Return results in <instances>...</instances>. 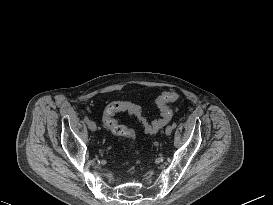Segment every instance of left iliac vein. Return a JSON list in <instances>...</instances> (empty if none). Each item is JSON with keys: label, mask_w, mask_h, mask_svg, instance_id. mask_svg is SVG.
I'll return each mask as SVG.
<instances>
[{"label": "left iliac vein", "mask_w": 273, "mask_h": 205, "mask_svg": "<svg viewBox=\"0 0 273 205\" xmlns=\"http://www.w3.org/2000/svg\"><path fill=\"white\" fill-rule=\"evenodd\" d=\"M172 130H173V128L171 125L167 126L166 130H165L166 135H170L172 133Z\"/></svg>", "instance_id": "obj_1"}]
</instances>
